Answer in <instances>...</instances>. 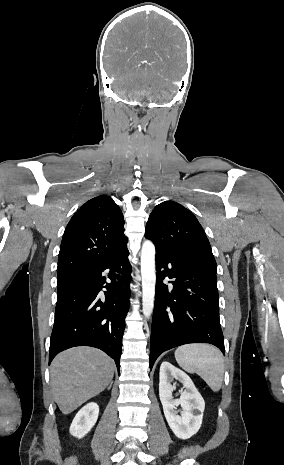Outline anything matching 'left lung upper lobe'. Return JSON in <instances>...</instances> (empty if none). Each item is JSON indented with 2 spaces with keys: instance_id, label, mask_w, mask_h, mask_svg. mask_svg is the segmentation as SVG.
I'll list each match as a JSON object with an SVG mask.
<instances>
[{
  "instance_id": "obj_1",
  "label": "left lung upper lobe",
  "mask_w": 284,
  "mask_h": 465,
  "mask_svg": "<svg viewBox=\"0 0 284 465\" xmlns=\"http://www.w3.org/2000/svg\"><path fill=\"white\" fill-rule=\"evenodd\" d=\"M145 237L153 241L156 250L216 274V261L202 226L179 203L164 201L157 205L149 216Z\"/></svg>"
}]
</instances>
